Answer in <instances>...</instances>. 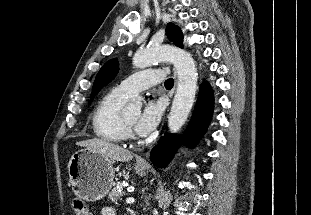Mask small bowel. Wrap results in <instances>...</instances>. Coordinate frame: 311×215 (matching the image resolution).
<instances>
[{"label": "small bowel", "instance_id": "small-bowel-1", "mask_svg": "<svg viewBox=\"0 0 311 215\" xmlns=\"http://www.w3.org/2000/svg\"><path fill=\"white\" fill-rule=\"evenodd\" d=\"M101 215H115L113 208H105L103 209Z\"/></svg>", "mask_w": 311, "mask_h": 215}]
</instances>
